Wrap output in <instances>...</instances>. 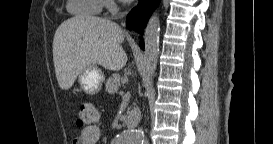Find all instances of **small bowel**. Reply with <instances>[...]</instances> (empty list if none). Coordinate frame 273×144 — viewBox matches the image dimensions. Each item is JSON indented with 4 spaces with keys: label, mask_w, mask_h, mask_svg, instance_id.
<instances>
[{
    "label": "small bowel",
    "mask_w": 273,
    "mask_h": 144,
    "mask_svg": "<svg viewBox=\"0 0 273 144\" xmlns=\"http://www.w3.org/2000/svg\"><path fill=\"white\" fill-rule=\"evenodd\" d=\"M100 139V129L97 126L82 129L73 144H97Z\"/></svg>",
    "instance_id": "obj_1"
}]
</instances>
